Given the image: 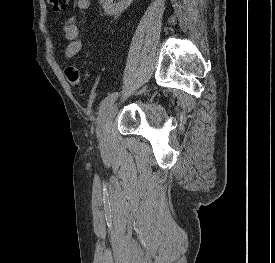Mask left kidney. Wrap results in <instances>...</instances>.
Wrapping results in <instances>:
<instances>
[{"label": "left kidney", "instance_id": "obj_1", "mask_svg": "<svg viewBox=\"0 0 275 263\" xmlns=\"http://www.w3.org/2000/svg\"><path fill=\"white\" fill-rule=\"evenodd\" d=\"M133 0H118L116 3H113V0H100L104 12L107 15H117L122 13Z\"/></svg>", "mask_w": 275, "mask_h": 263}]
</instances>
